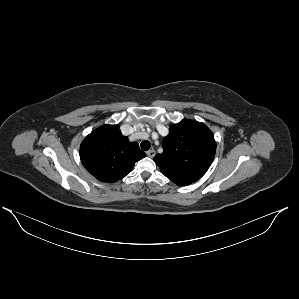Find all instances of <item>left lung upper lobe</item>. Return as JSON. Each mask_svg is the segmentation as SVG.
<instances>
[{
    "label": "left lung upper lobe",
    "mask_w": 299,
    "mask_h": 299,
    "mask_svg": "<svg viewBox=\"0 0 299 299\" xmlns=\"http://www.w3.org/2000/svg\"><path fill=\"white\" fill-rule=\"evenodd\" d=\"M216 152L211 130L203 123L184 119L170 127L163 140V153L154 157L162 173L179 186L199 180Z\"/></svg>",
    "instance_id": "1"
}]
</instances>
